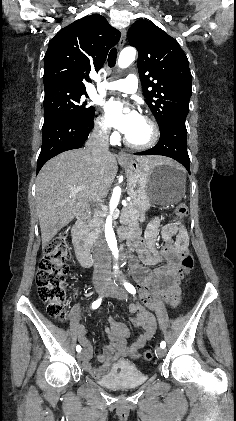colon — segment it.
Returning a JSON list of instances; mask_svg holds the SVG:
<instances>
[{"mask_svg": "<svg viewBox=\"0 0 236 421\" xmlns=\"http://www.w3.org/2000/svg\"><path fill=\"white\" fill-rule=\"evenodd\" d=\"M176 214L180 219L188 215L185 204L176 207ZM70 247L67 234L59 233L47 245L37 272V286L40 299L45 303L48 314L56 319L64 320L67 316L65 303L67 298L68 261ZM194 267V257L191 252L184 251L181 259V274L188 275ZM143 358L150 361L154 358V351L146 349Z\"/></svg>", "mask_w": 236, "mask_h": 421, "instance_id": "1", "label": "colon"}]
</instances>
